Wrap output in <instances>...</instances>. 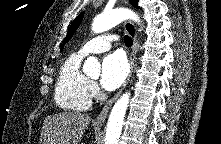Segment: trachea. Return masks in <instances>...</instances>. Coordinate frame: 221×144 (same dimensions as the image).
<instances>
[{
  "label": "trachea",
  "instance_id": "trachea-1",
  "mask_svg": "<svg viewBox=\"0 0 221 144\" xmlns=\"http://www.w3.org/2000/svg\"><path fill=\"white\" fill-rule=\"evenodd\" d=\"M124 42H125L126 46H128V47L132 46V39L127 35L124 37Z\"/></svg>",
  "mask_w": 221,
  "mask_h": 144
}]
</instances>
